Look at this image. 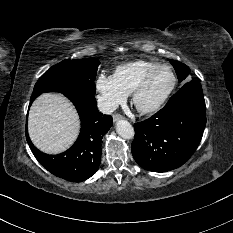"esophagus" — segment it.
Returning <instances> with one entry per match:
<instances>
[{
  "label": "esophagus",
  "instance_id": "esophagus-1",
  "mask_svg": "<svg viewBox=\"0 0 233 233\" xmlns=\"http://www.w3.org/2000/svg\"><path fill=\"white\" fill-rule=\"evenodd\" d=\"M123 119V116L121 114H114L113 115V121L117 122L119 120Z\"/></svg>",
  "mask_w": 233,
  "mask_h": 233
}]
</instances>
